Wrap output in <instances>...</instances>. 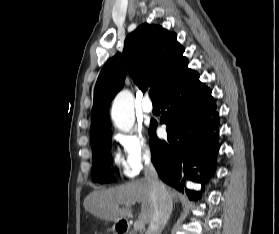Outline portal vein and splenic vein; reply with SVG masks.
<instances>
[{"label":"portal vein and splenic vein","instance_id":"1","mask_svg":"<svg viewBox=\"0 0 279 234\" xmlns=\"http://www.w3.org/2000/svg\"><path fill=\"white\" fill-rule=\"evenodd\" d=\"M127 207H131V204H125ZM144 228V222L143 221H141V220H139V221H136L135 223H134V229L135 230H141V229H143Z\"/></svg>","mask_w":279,"mask_h":234}]
</instances>
